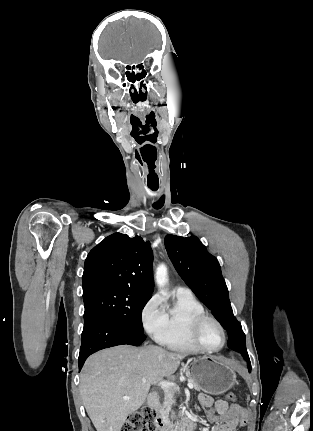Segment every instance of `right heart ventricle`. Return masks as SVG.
Listing matches in <instances>:
<instances>
[{
	"label": "right heart ventricle",
	"instance_id": "obj_1",
	"mask_svg": "<svg viewBox=\"0 0 313 431\" xmlns=\"http://www.w3.org/2000/svg\"><path fill=\"white\" fill-rule=\"evenodd\" d=\"M204 313L203 305L192 293H176L174 302L165 309L166 325L158 341L173 351H198L189 333L194 320Z\"/></svg>",
	"mask_w": 313,
	"mask_h": 431
}]
</instances>
